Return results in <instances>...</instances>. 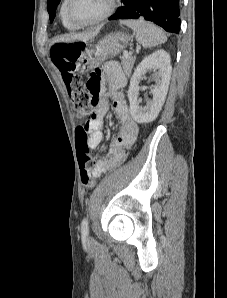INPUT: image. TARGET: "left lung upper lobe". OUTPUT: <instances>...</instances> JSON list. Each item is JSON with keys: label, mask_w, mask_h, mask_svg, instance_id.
<instances>
[{"label": "left lung upper lobe", "mask_w": 227, "mask_h": 298, "mask_svg": "<svg viewBox=\"0 0 227 298\" xmlns=\"http://www.w3.org/2000/svg\"><path fill=\"white\" fill-rule=\"evenodd\" d=\"M61 0H48L47 10L49 12L50 21L52 22L55 17L56 8Z\"/></svg>", "instance_id": "obj_1"}]
</instances>
